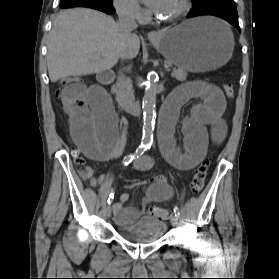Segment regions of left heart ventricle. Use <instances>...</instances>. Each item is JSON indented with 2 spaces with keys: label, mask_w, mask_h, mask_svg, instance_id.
I'll return each mask as SVG.
<instances>
[{
  "label": "left heart ventricle",
  "mask_w": 279,
  "mask_h": 279,
  "mask_svg": "<svg viewBox=\"0 0 279 279\" xmlns=\"http://www.w3.org/2000/svg\"><path fill=\"white\" fill-rule=\"evenodd\" d=\"M181 5L182 0H163L156 13L159 17H170L180 9Z\"/></svg>",
  "instance_id": "left-heart-ventricle-1"
}]
</instances>
